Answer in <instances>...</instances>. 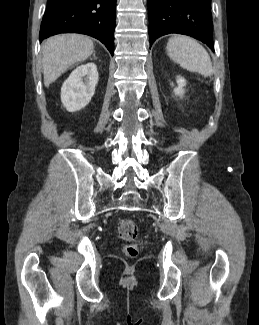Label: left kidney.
Masks as SVG:
<instances>
[{"instance_id": "obj_1", "label": "left kidney", "mask_w": 259, "mask_h": 325, "mask_svg": "<svg viewBox=\"0 0 259 325\" xmlns=\"http://www.w3.org/2000/svg\"><path fill=\"white\" fill-rule=\"evenodd\" d=\"M176 81H177L178 87H176L174 89V93H175V95L182 97L185 92L184 87L186 86V80L184 78L178 76Z\"/></svg>"}]
</instances>
